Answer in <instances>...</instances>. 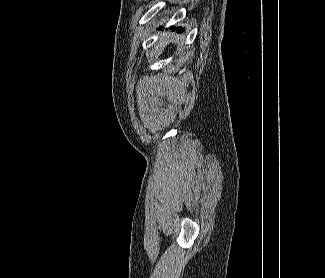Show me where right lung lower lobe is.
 <instances>
[{
	"mask_svg": "<svg viewBox=\"0 0 325 278\" xmlns=\"http://www.w3.org/2000/svg\"><path fill=\"white\" fill-rule=\"evenodd\" d=\"M175 29L177 30V32H182L184 30L182 27H178V28L174 27V28H172V30H175Z\"/></svg>",
	"mask_w": 325,
	"mask_h": 278,
	"instance_id": "1",
	"label": "right lung lower lobe"
}]
</instances>
